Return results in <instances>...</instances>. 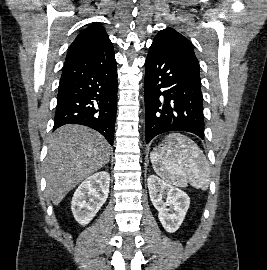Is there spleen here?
Masks as SVG:
<instances>
[{
	"label": "spleen",
	"instance_id": "obj_1",
	"mask_svg": "<svg viewBox=\"0 0 267 270\" xmlns=\"http://www.w3.org/2000/svg\"><path fill=\"white\" fill-rule=\"evenodd\" d=\"M150 155L155 172L180 187L190 183L205 190L209 185V164L193 140L180 133L169 134Z\"/></svg>",
	"mask_w": 267,
	"mask_h": 270
}]
</instances>
